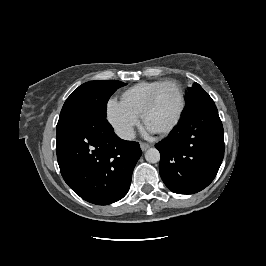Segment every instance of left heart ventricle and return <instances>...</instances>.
Wrapping results in <instances>:
<instances>
[{
  "label": "left heart ventricle",
  "instance_id": "b2bd125f",
  "mask_svg": "<svg viewBox=\"0 0 266 266\" xmlns=\"http://www.w3.org/2000/svg\"><path fill=\"white\" fill-rule=\"evenodd\" d=\"M179 107V93L174 85L165 86L157 96L146 117V124L156 131L166 127Z\"/></svg>",
  "mask_w": 266,
  "mask_h": 266
}]
</instances>
